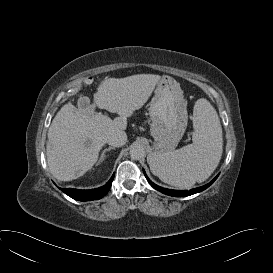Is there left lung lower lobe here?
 Segmentation results:
<instances>
[{"instance_id":"0a47b994","label":"left lung lower lobe","mask_w":273,"mask_h":273,"mask_svg":"<svg viewBox=\"0 0 273 273\" xmlns=\"http://www.w3.org/2000/svg\"><path fill=\"white\" fill-rule=\"evenodd\" d=\"M144 174H145V171H144ZM219 175V174H218ZM218 175L208 184L204 185V186H201V187H198V188H195V189H191V190H171V189H166V188H163V187H160L156 184H154L145 174V177L147 179V181L149 182V184L155 188L156 190L166 194V195H169V196H173V197H186V196H190V195H193L195 193H198V192H201L203 190H205L206 188H208L210 185L213 184V182L217 179Z\"/></svg>"}]
</instances>
